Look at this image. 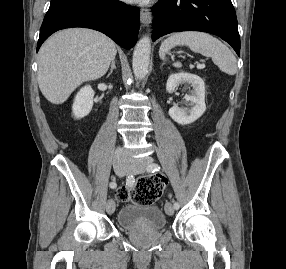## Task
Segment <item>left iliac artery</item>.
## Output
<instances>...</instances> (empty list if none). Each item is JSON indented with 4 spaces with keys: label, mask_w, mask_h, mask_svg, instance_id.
Returning a JSON list of instances; mask_svg holds the SVG:
<instances>
[{
    "label": "left iliac artery",
    "mask_w": 286,
    "mask_h": 269,
    "mask_svg": "<svg viewBox=\"0 0 286 269\" xmlns=\"http://www.w3.org/2000/svg\"><path fill=\"white\" fill-rule=\"evenodd\" d=\"M159 170H160V166L158 164H155V163H152V164L148 165V167H147L148 172H155V171H159ZM174 208L179 209V203L178 202H174Z\"/></svg>",
    "instance_id": "left-iliac-artery-1"
}]
</instances>
